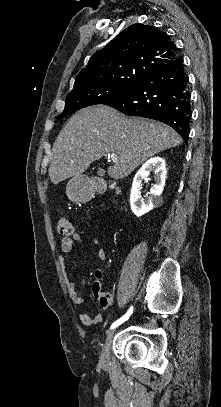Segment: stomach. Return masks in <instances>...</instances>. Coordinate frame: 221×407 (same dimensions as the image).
<instances>
[{
  "label": "stomach",
  "mask_w": 221,
  "mask_h": 407,
  "mask_svg": "<svg viewBox=\"0 0 221 407\" xmlns=\"http://www.w3.org/2000/svg\"><path fill=\"white\" fill-rule=\"evenodd\" d=\"M67 196L74 203H84L91 199L92 190L82 176H75L69 180L66 186Z\"/></svg>",
  "instance_id": "0dacf381"
}]
</instances>
